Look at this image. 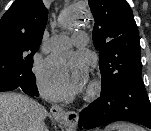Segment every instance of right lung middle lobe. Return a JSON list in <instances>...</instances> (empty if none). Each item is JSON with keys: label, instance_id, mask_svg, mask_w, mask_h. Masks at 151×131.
Here are the masks:
<instances>
[{"label": "right lung middle lobe", "instance_id": "dd1d6c3e", "mask_svg": "<svg viewBox=\"0 0 151 131\" xmlns=\"http://www.w3.org/2000/svg\"><path fill=\"white\" fill-rule=\"evenodd\" d=\"M33 55L22 50L0 53V76L11 82L34 77L35 75L31 71Z\"/></svg>", "mask_w": 151, "mask_h": 131}]
</instances>
